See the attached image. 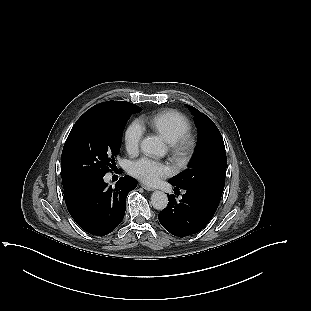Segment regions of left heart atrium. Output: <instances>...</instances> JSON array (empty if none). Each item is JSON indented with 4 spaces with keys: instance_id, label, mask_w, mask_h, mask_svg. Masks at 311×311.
<instances>
[{
    "instance_id": "1",
    "label": "left heart atrium",
    "mask_w": 311,
    "mask_h": 311,
    "mask_svg": "<svg viewBox=\"0 0 311 311\" xmlns=\"http://www.w3.org/2000/svg\"><path fill=\"white\" fill-rule=\"evenodd\" d=\"M130 172L146 183H154L168 173L167 167L148 157L140 158L130 165Z\"/></svg>"
}]
</instances>
